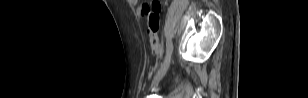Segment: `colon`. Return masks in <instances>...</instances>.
I'll return each mask as SVG.
<instances>
[{"mask_svg": "<svg viewBox=\"0 0 308 98\" xmlns=\"http://www.w3.org/2000/svg\"><path fill=\"white\" fill-rule=\"evenodd\" d=\"M162 9L160 1H152L149 4H144L140 10L141 16H146L148 19V35L150 46L154 53L159 54L161 45L159 43L157 31H160L159 15Z\"/></svg>", "mask_w": 308, "mask_h": 98, "instance_id": "colon-1", "label": "colon"}]
</instances>
